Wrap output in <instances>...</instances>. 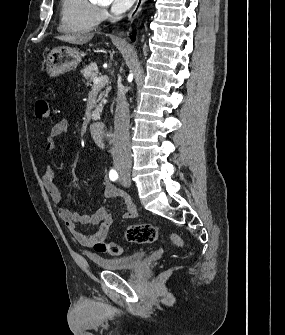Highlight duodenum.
<instances>
[{
	"instance_id": "duodenum-1",
	"label": "duodenum",
	"mask_w": 285,
	"mask_h": 335,
	"mask_svg": "<svg viewBox=\"0 0 285 335\" xmlns=\"http://www.w3.org/2000/svg\"><path fill=\"white\" fill-rule=\"evenodd\" d=\"M89 132L93 140L101 147L104 146V126L99 122H93L89 126Z\"/></svg>"
}]
</instances>
